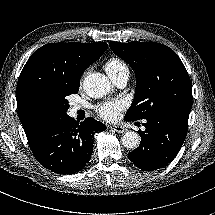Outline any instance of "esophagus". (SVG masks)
Returning <instances> with one entry per match:
<instances>
[{
    "instance_id": "34e87169",
    "label": "esophagus",
    "mask_w": 215,
    "mask_h": 215,
    "mask_svg": "<svg viewBox=\"0 0 215 215\" xmlns=\"http://www.w3.org/2000/svg\"><path fill=\"white\" fill-rule=\"evenodd\" d=\"M109 128L117 133L125 132V127L121 125H110Z\"/></svg>"
}]
</instances>
